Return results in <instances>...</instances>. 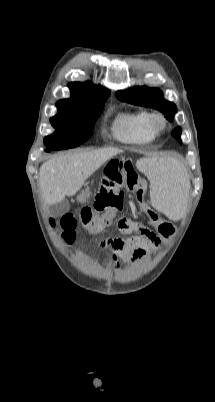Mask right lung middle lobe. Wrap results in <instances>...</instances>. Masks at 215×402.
I'll list each match as a JSON object with an SVG mask.
<instances>
[{"instance_id":"dd1d6c3e","label":"right lung middle lobe","mask_w":215,"mask_h":402,"mask_svg":"<svg viewBox=\"0 0 215 402\" xmlns=\"http://www.w3.org/2000/svg\"><path fill=\"white\" fill-rule=\"evenodd\" d=\"M107 97L86 103L58 101V114L50 119L56 131L44 138L46 151L73 148L88 140Z\"/></svg>"}]
</instances>
